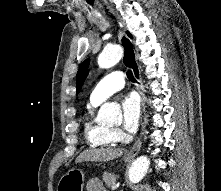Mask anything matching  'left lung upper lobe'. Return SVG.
<instances>
[{
	"mask_svg": "<svg viewBox=\"0 0 221 191\" xmlns=\"http://www.w3.org/2000/svg\"><path fill=\"white\" fill-rule=\"evenodd\" d=\"M128 36L132 38V35L127 32ZM89 59L85 60L82 65L79 68V71L77 73V77H76V83H77V93L80 91L83 82L85 80V78L88 75V66H89Z\"/></svg>",
	"mask_w": 221,
	"mask_h": 191,
	"instance_id": "left-lung-upper-lobe-1",
	"label": "left lung upper lobe"
}]
</instances>
